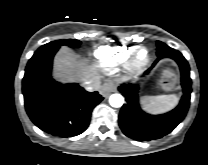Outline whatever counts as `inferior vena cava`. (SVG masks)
<instances>
[{
	"label": "inferior vena cava",
	"instance_id": "602c4592",
	"mask_svg": "<svg viewBox=\"0 0 208 165\" xmlns=\"http://www.w3.org/2000/svg\"><path fill=\"white\" fill-rule=\"evenodd\" d=\"M100 83L101 82H100L99 77H93V78L87 79L84 82V86L86 90L92 91V90L98 89L100 87Z\"/></svg>",
	"mask_w": 208,
	"mask_h": 165
}]
</instances>
